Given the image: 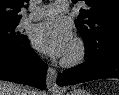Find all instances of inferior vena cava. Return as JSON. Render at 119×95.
I'll return each instance as SVG.
<instances>
[{"label": "inferior vena cava", "instance_id": "obj_1", "mask_svg": "<svg viewBox=\"0 0 119 95\" xmlns=\"http://www.w3.org/2000/svg\"><path fill=\"white\" fill-rule=\"evenodd\" d=\"M21 94L22 95H30L32 93H31V90L28 87H23Z\"/></svg>", "mask_w": 119, "mask_h": 95}]
</instances>
